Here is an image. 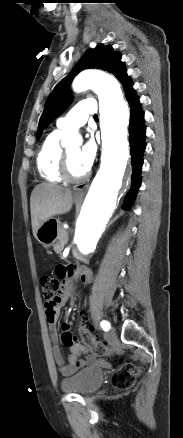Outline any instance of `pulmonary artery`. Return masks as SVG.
Wrapping results in <instances>:
<instances>
[{
    "mask_svg": "<svg viewBox=\"0 0 183 438\" xmlns=\"http://www.w3.org/2000/svg\"><path fill=\"white\" fill-rule=\"evenodd\" d=\"M97 112V103L93 99H85L76 104L67 114L57 121L61 131L77 129L83 126L90 115Z\"/></svg>",
    "mask_w": 183,
    "mask_h": 438,
    "instance_id": "1",
    "label": "pulmonary artery"
}]
</instances>
